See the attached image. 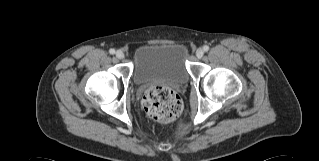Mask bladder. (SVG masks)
Listing matches in <instances>:
<instances>
[{
    "label": "bladder",
    "mask_w": 319,
    "mask_h": 161,
    "mask_svg": "<svg viewBox=\"0 0 319 161\" xmlns=\"http://www.w3.org/2000/svg\"><path fill=\"white\" fill-rule=\"evenodd\" d=\"M187 59V50L178 43L141 45L134 52L135 82L186 84L190 78Z\"/></svg>",
    "instance_id": "1"
}]
</instances>
